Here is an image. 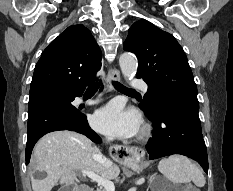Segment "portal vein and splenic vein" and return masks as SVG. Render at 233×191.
I'll return each instance as SVG.
<instances>
[{"label":"portal vein and splenic vein","mask_w":233,"mask_h":191,"mask_svg":"<svg viewBox=\"0 0 233 191\" xmlns=\"http://www.w3.org/2000/svg\"><path fill=\"white\" fill-rule=\"evenodd\" d=\"M81 172L83 175H86L93 181L97 182L98 185L103 186L106 191H115V186L110 180L104 179L92 171L82 170Z\"/></svg>","instance_id":"18ae733b"}]
</instances>
